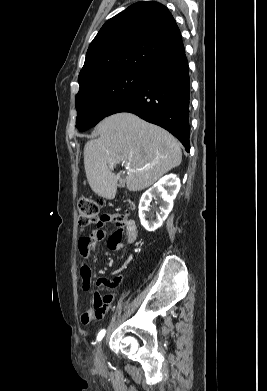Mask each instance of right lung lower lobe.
<instances>
[{"label":"right lung lower lobe","mask_w":267,"mask_h":391,"mask_svg":"<svg viewBox=\"0 0 267 391\" xmlns=\"http://www.w3.org/2000/svg\"><path fill=\"white\" fill-rule=\"evenodd\" d=\"M190 78L185 52L152 67L141 87L113 109L134 113L168 130L183 144L189 143Z\"/></svg>","instance_id":"obj_1"}]
</instances>
